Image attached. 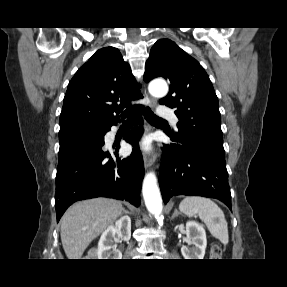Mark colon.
I'll use <instances>...</instances> for the list:
<instances>
[{
	"instance_id": "obj_1",
	"label": "colon",
	"mask_w": 287,
	"mask_h": 287,
	"mask_svg": "<svg viewBox=\"0 0 287 287\" xmlns=\"http://www.w3.org/2000/svg\"><path fill=\"white\" fill-rule=\"evenodd\" d=\"M222 255V249L218 244H213L210 249V256L213 259H218Z\"/></svg>"
}]
</instances>
